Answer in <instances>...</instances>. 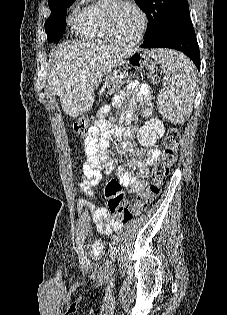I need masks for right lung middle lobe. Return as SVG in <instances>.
Listing matches in <instances>:
<instances>
[{"label": "right lung middle lobe", "instance_id": "1", "mask_svg": "<svg viewBox=\"0 0 227 315\" xmlns=\"http://www.w3.org/2000/svg\"><path fill=\"white\" fill-rule=\"evenodd\" d=\"M75 0H49L50 17L45 22V32L49 42L58 43L66 28L67 8Z\"/></svg>", "mask_w": 227, "mask_h": 315}]
</instances>
